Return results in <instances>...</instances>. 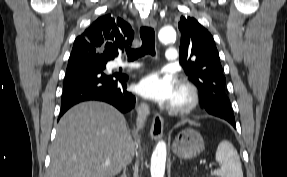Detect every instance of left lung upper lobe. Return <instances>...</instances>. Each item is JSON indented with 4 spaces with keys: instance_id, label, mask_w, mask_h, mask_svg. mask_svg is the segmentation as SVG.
Listing matches in <instances>:
<instances>
[{
    "instance_id": "1",
    "label": "left lung upper lobe",
    "mask_w": 287,
    "mask_h": 177,
    "mask_svg": "<svg viewBox=\"0 0 287 177\" xmlns=\"http://www.w3.org/2000/svg\"><path fill=\"white\" fill-rule=\"evenodd\" d=\"M178 27L181 31L180 64L188 79L197 86L201 104L207 108L217 95L227 97L226 79L214 39L195 18L181 16ZM226 108L232 114L229 100Z\"/></svg>"
}]
</instances>
